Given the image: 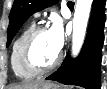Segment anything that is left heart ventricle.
Masks as SVG:
<instances>
[{
	"instance_id": "b2bd125f",
	"label": "left heart ventricle",
	"mask_w": 107,
	"mask_h": 89,
	"mask_svg": "<svg viewBox=\"0 0 107 89\" xmlns=\"http://www.w3.org/2000/svg\"><path fill=\"white\" fill-rule=\"evenodd\" d=\"M49 32L42 33L36 40L33 48V59L40 65H50L58 56Z\"/></svg>"
}]
</instances>
